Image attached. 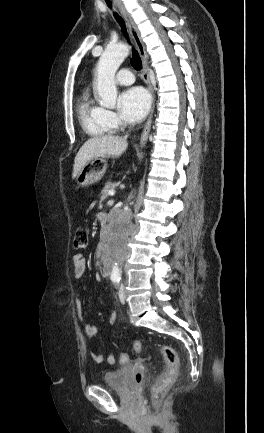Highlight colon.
<instances>
[{"instance_id":"obj_1","label":"colon","mask_w":264,"mask_h":433,"mask_svg":"<svg viewBox=\"0 0 264 433\" xmlns=\"http://www.w3.org/2000/svg\"><path fill=\"white\" fill-rule=\"evenodd\" d=\"M74 248L78 251H85L89 245V238L86 229L79 228L74 236ZM143 349V345L140 341L133 343V350L136 353H140ZM158 349L164 359L165 368L160 376L159 383L161 386H169L174 383L178 375L179 369V358L175 349L167 344H160ZM129 356L127 353H121L119 355V361L122 364L127 363Z\"/></svg>"}]
</instances>
